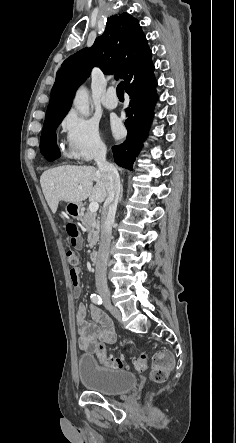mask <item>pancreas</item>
<instances>
[{
  "instance_id": "pancreas-1",
  "label": "pancreas",
  "mask_w": 236,
  "mask_h": 443,
  "mask_svg": "<svg viewBox=\"0 0 236 443\" xmlns=\"http://www.w3.org/2000/svg\"><path fill=\"white\" fill-rule=\"evenodd\" d=\"M81 222L88 232L89 247L93 248L99 240L100 221L96 213L87 211L82 217Z\"/></svg>"
}]
</instances>
